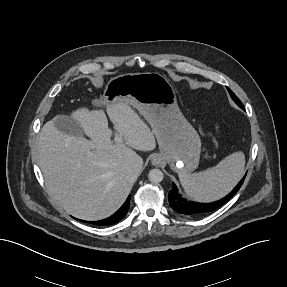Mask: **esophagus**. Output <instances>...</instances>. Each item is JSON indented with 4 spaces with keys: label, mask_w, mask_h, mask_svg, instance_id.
I'll return each mask as SVG.
<instances>
[{
    "label": "esophagus",
    "mask_w": 287,
    "mask_h": 287,
    "mask_svg": "<svg viewBox=\"0 0 287 287\" xmlns=\"http://www.w3.org/2000/svg\"><path fill=\"white\" fill-rule=\"evenodd\" d=\"M160 162H161L160 156L156 155V156H154V157L152 158V164H153V165H159Z\"/></svg>",
    "instance_id": "34e87169"
}]
</instances>
